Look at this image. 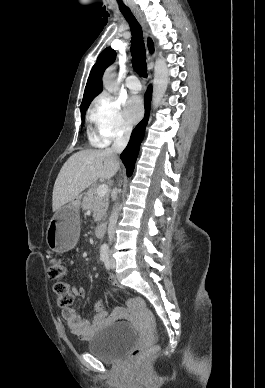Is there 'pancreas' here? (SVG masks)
Listing matches in <instances>:
<instances>
[{
    "instance_id": "1",
    "label": "pancreas",
    "mask_w": 265,
    "mask_h": 388,
    "mask_svg": "<svg viewBox=\"0 0 265 388\" xmlns=\"http://www.w3.org/2000/svg\"><path fill=\"white\" fill-rule=\"evenodd\" d=\"M97 188L98 186H91L82 202L83 210H92L94 222H100L102 220L109 206V194H105V196L99 198L96 194Z\"/></svg>"
}]
</instances>
